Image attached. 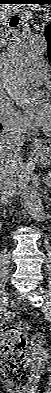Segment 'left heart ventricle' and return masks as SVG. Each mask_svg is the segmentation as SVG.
Wrapping results in <instances>:
<instances>
[{"label":"left heart ventricle","instance_id":"obj_1","mask_svg":"<svg viewBox=\"0 0 51 393\" xmlns=\"http://www.w3.org/2000/svg\"><path fill=\"white\" fill-rule=\"evenodd\" d=\"M47 130H51V117L49 118L47 124L45 125Z\"/></svg>","mask_w":51,"mask_h":393}]
</instances>
